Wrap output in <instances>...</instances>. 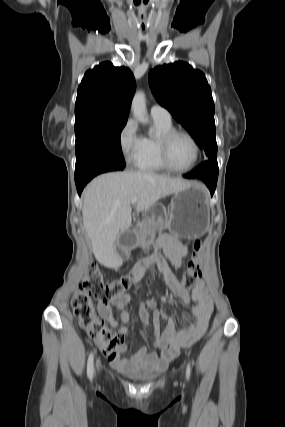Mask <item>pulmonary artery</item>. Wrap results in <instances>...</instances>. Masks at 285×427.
<instances>
[{
  "label": "pulmonary artery",
  "instance_id": "pulmonary-artery-1",
  "mask_svg": "<svg viewBox=\"0 0 285 427\" xmlns=\"http://www.w3.org/2000/svg\"><path fill=\"white\" fill-rule=\"evenodd\" d=\"M151 117L155 120L171 122L170 112L161 105L155 104L150 109Z\"/></svg>",
  "mask_w": 285,
  "mask_h": 427
}]
</instances>
